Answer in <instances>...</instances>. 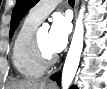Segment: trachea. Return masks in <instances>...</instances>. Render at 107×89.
Returning a JSON list of instances; mask_svg holds the SVG:
<instances>
[{"label": "trachea", "mask_w": 107, "mask_h": 89, "mask_svg": "<svg viewBox=\"0 0 107 89\" xmlns=\"http://www.w3.org/2000/svg\"><path fill=\"white\" fill-rule=\"evenodd\" d=\"M70 5H74L75 4V0H69L68 1Z\"/></svg>", "instance_id": "trachea-1"}]
</instances>
